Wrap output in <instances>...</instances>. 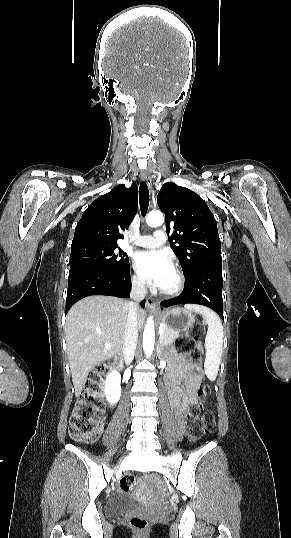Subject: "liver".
Returning a JSON list of instances; mask_svg holds the SVG:
<instances>
[{"mask_svg":"<svg viewBox=\"0 0 291 538\" xmlns=\"http://www.w3.org/2000/svg\"><path fill=\"white\" fill-rule=\"evenodd\" d=\"M127 316L128 302L110 296L86 297L69 310L65 338L76 396L95 366L120 353ZM144 319L145 311L138 310L139 326Z\"/></svg>","mask_w":291,"mask_h":538,"instance_id":"6515ba94","label":"liver"}]
</instances>
